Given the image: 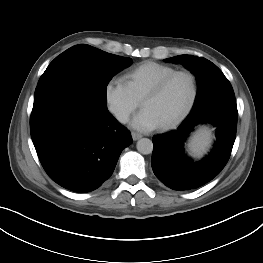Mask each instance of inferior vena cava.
Segmentation results:
<instances>
[{"label": "inferior vena cava", "instance_id": "inferior-vena-cava-1", "mask_svg": "<svg viewBox=\"0 0 263 263\" xmlns=\"http://www.w3.org/2000/svg\"><path fill=\"white\" fill-rule=\"evenodd\" d=\"M119 119L121 122H126L127 121V115H122Z\"/></svg>", "mask_w": 263, "mask_h": 263}]
</instances>
